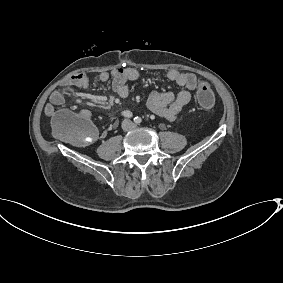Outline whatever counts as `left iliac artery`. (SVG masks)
Here are the masks:
<instances>
[{"instance_id":"obj_1","label":"left iliac artery","mask_w":283,"mask_h":283,"mask_svg":"<svg viewBox=\"0 0 283 283\" xmlns=\"http://www.w3.org/2000/svg\"><path fill=\"white\" fill-rule=\"evenodd\" d=\"M134 122H135L136 124H140V123L142 122V119H141L140 117H135V118H134Z\"/></svg>"}]
</instances>
